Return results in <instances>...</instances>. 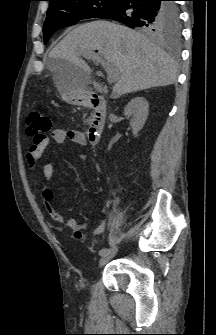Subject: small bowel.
<instances>
[{
	"label": "small bowel",
	"instance_id": "c3829d8e",
	"mask_svg": "<svg viewBox=\"0 0 216 335\" xmlns=\"http://www.w3.org/2000/svg\"><path fill=\"white\" fill-rule=\"evenodd\" d=\"M51 137L53 141L59 145H66L69 143L76 144L79 146H85L87 143L86 136L82 131L78 130H65V129H54L51 132ZM49 143V138L45 136L39 142L31 144L28 148L26 156L27 162L30 167H33L35 162L42 156L44 150L46 149ZM43 174V187H42V197L47 211L50 213L52 218L58 222L63 223V216L57 211V209L52 204L51 200L45 198L44 193L47 189H49V183L54 174V165L52 162H46L42 167ZM69 227L72 231H81L84 228L83 224H79L74 220L68 221ZM105 221L100 220L97 226L93 230L94 237H98L105 230Z\"/></svg>",
	"mask_w": 216,
	"mask_h": 335
}]
</instances>
